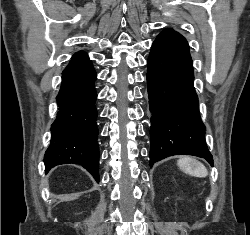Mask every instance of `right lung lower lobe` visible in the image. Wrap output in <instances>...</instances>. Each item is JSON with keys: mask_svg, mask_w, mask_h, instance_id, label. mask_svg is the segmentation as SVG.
I'll list each match as a JSON object with an SVG mask.
<instances>
[{"mask_svg": "<svg viewBox=\"0 0 250 235\" xmlns=\"http://www.w3.org/2000/svg\"><path fill=\"white\" fill-rule=\"evenodd\" d=\"M96 72L88 55L77 52L62 73L57 96L58 114L51 126V143L44 155L45 170L56 165L80 164L99 181L96 126Z\"/></svg>", "mask_w": 250, "mask_h": 235, "instance_id": "right-lung-lower-lobe-1", "label": "right lung lower lobe"}]
</instances>
